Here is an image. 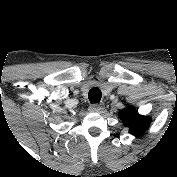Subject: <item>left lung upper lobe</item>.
Segmentation results:
<instances>
[{
	"label": "left lung upper lobe",
	"instance_id": "1",
	"mask_svg": "<svg viewBox=\"0 0 177 177\" xmlns=\"http://www.w3.org/2000/svg\"><path fill=\"white\" fill-rule=\"evenodd\" d=\"M123 124L129 128V133L135 136L142 135L149 127L151 118L138 114L132 106L126 107L119 112Z\"/></svg>",
	"mask_w": 177,
	"mask_h": 177
}]
</instances>
